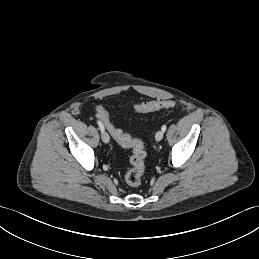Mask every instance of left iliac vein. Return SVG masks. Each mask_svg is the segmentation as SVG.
Instances as JSON below:
<instances>
[{
	"instance_id": "left-iliac-vein-1",
	"label": "left iliac vein",
	"mask_w": 259,
	"mask_h": 259,
	"mask_svg": "<svg viewBox=\"0 0 259 259\" xmlns=\"http://www.w3.org/2000/svg\"><path fill=\"white\" fill-rule=\"evenodd\" d=\"M164 137V132L162 130L158 131L155 135V140L156 141H161Z\"/></svg>"
}]
</instances>
